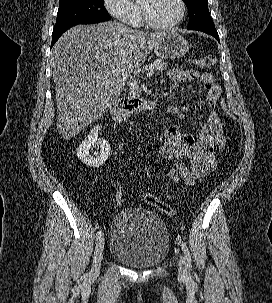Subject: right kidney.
Instances as JSON below:
<instances>
[{"mask_svg":"<svg viewBox=\"0 0 272 303\" xmlns=\"http://www.w3.org/2000/svg\"><path fill=\"white\" fill-rule=\"evenodd\" d=\"M101 130V125L97 124L93 127L89 135L82 141L77 149V157L90 167L101 166L110 155V145L108 141L98 138V132ZM100 147V152L91 154V148Z\"/></svg>","mask_w":272,"mask_h":303,"instance_id":"1","label":"right kidney"}]
</instances>
